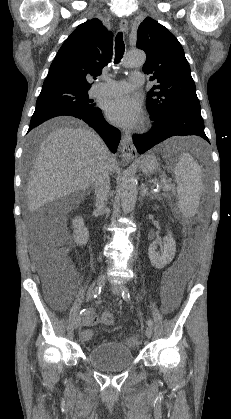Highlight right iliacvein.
<instances>
[{
	"instance_id": "1",
	"label": "right iliac vein",
	"mask_w": 231,
	"mask_h": 419,
	"mask_svg": "<svg viewBox=\"0 0 231 419\" xmlns=\"http://www.w3.org/2000/svg\"><path fill=\"white\" fill-rule=\"evenodd\" d=\"M106 282V275L102 274L98 277L97 279V285L98 286H102L104 285ZM83 317L82 316H77L74 320V328L78 329L81 326V322H82Z\"/></svg>"
}]
</instances>
